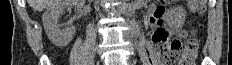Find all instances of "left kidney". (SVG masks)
Here are the masks:
<instances>
[{
	"label": "left kidney",
	"instance_id": "obj_1",
	"mask_svg": "<svg viewBox=\"0 0 232 65\" xmlns=\"http://www.w3.org/2000/svg\"><path fill=\"white\" fill-rule=\"evenodd\" d=\"M167 15L172 27L176 29L183 27L186 19V11L182 6L171 9Z\"/></svg>",
	"mask_w": 232,
	"mask_h": 65
}]
</instances>
